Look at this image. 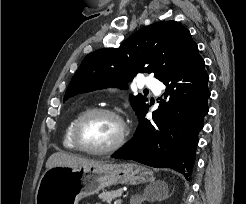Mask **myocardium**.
Listing matches in <instances>:
<instances>
[{
    "label": "myocardium",
    "mask_w": 246,
    "mask_h": 204,
    "mask_svg": "<svg viewBox=\"0 0 246 204\" xmlns=\"http://www.w3.org/2000/svg\"><path fill=\"white\" fill-rule=\"evenodd\" d=\"M95 115L111 116L119 123V126H120V132L115 142L105 148H100V149L88 148V147H85L81 143V140H80V131H81L82 125L87 119ZM127 136H128V127L124 119L122 118V116L115 110L110 109V108H105V107L91 108V109L86 110L84 113H82L79 116V118L76 120L74 127H73V132H72V139H73V142L76 148L82 152L94 154V155L109 154V153H112L118 150L124 145L127 139Z\"/></svg>",
    "instance_id": "myocardium-1"
}]
</instances>
